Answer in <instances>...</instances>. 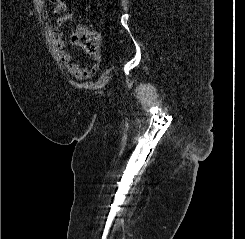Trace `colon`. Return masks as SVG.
<instances>
[{"label":"colon","instance_id":"5ec220e1","mask_svg":"<svg viewBox=\"0 0 245 239\" xmlns=\"http://www.w3.org/2000/svg\"><path fill=\"white\" fill-rule=\"evenodd\" d=\"M52 3L58 2V0H50ZM72 41L78 44L89 53H93L97 50L99 45V36L96 33H77L72 36Z\"/></svg>","mask_w":245,"mask_h":239}]
</instances>
